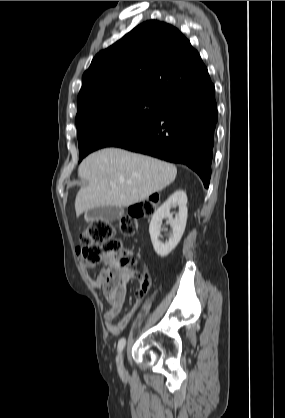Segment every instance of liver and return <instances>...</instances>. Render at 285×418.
Instances as JSON below:
<instances>
[{"label": "liver", "mask_w": 285, "mask_h": 418, "mask_svg": "<svg viewBox=\"0 0 285 418\" xmlns=\"http://www.w3.org/2000/svg\"><path fill=\"white\" fill-rule=\"evenodd\" d=\"M88 181L75 199L77 216L100 206L128 207L171 184L177 168L161 160L106 148L87 156L78 168Z\"/></svg>", "instance_id": "1"}]
</instances>
